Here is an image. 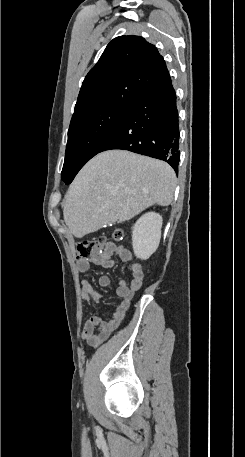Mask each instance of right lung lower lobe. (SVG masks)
I'll return each instance as SVG.
<instances>
[{
  "mask_svg": "<svg viewBox=\"0 0 245 457\" xmlns=\"http://www.w3.org/2000/svg\"><path fill=\"white\" fill-rule=\"evenodd\" d=\"M176 93L171 79L142 93L100 152L123 149L168 162L180 159Z\"/></svg>",
  "mask_w": 245,
  "mask_h": 457,
  "instance_id": "1",
  "label": "right lung lower lobe"
}]
</instances>
